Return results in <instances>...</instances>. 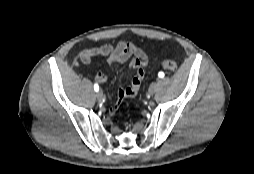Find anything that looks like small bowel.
I'll return each mask as SVG.
<instances>
[{
    "label": "small bowel",
    "instance_id": "small-bowel-1",
    "mask_svg": "<svg viewBox=\"0 0 254 174\" xmlns=\"http://www.w3.org/2000/svg\"><path fill=\"white\" fill-rule=\"evenodd\" d=\"M95 56L107 57L110 65L128 63L129 67L135 70L130 84L127 87H121L118 91V98H129L137 95L145 74V66L148 62L147 54L141 48L135 46L127 40H121L116 45L106 43L98 47L84 49L80 58L83 63H89ZM98 83H105L107 76L104 72L99 71L96 74ZM118 108L117 104L110 107L109 112L115 113Z\"/></svg>",
    "mask_w": 254,
    "mask_h": 174
}]
</instances>
